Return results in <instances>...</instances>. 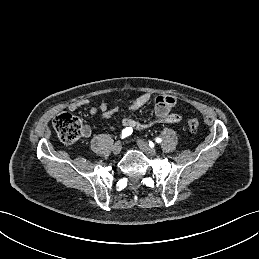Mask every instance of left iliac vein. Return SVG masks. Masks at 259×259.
Segmentation results:
<instances>
[{"instance_id":"4c4485c4","label":"left iliac vein","mask_w":259,"mask_h":259,"mask_svg":"<svg viewBox=\"0 0 259 259\" xmlns=\"http://www.w3.org/2000/svg\"><path fill=\"white\" fill-rule=\"evenodd\" d=\"M138 147L145 152L147 155L154 156L156 155L157 151L155 148L150 147L148 143L142 139L137 140Z\"/></svg>"}]
</instances>
